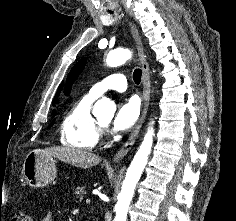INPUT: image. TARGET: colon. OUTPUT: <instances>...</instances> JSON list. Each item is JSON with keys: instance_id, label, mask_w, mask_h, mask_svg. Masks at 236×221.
I'll return each instance as SVG.
<instances>
[{"instance_id": "1", "label": "colon", "mask_w": 236, "mask_h": 221, "mask_svg": "<svg viewBox=\"0 0 236 221\" xmlns=\"http://www.w3.org/2000/svg\"><path fill=\"white\" fill-rule=\"evenodd\" d=\"M11 221H33V218L26 211H18Z\"/></svg>"}]
</instances>
